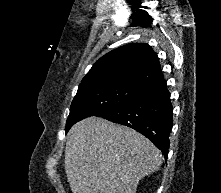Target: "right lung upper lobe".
<instances>
[{"mask_svg": "<svg viewBox=\"0 0 221 193\" xmlns=\"http://www.w3.org/2000/svg\"><path fill=\"white\" fill-rule=\"evenodd\" d=\"M162 78L158 56L150 46L131 43L101 57L82 79L78 90L113 83L144 86Z\"/></svg>", "mask_w": 221, "mask_h": 193, "instance_id": "obj_1", "label": "right lung upper lobe"}]
</instances>
